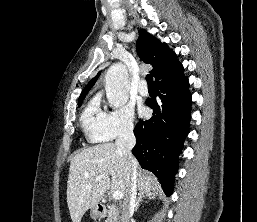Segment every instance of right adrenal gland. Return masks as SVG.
<instances>
[{"label":"right adrenal gland","instance_id":"obj_1","mask_svg":"<svg viewBox=\"0 0 257 222\" xmlns=\"http://www.w3.org/2000/svg\"><path fill=\"white\" fill-rule=\"evenodd\" d=\"M143 198L152 199V198H155V194L152 193V192H149V193L140 192V193H139V196H138V199H137V202H136L135 211H137V209L139 208L140 203L143 201Z\"/></svg>","mask_w":257,"mask_h":222}]
</instances>
